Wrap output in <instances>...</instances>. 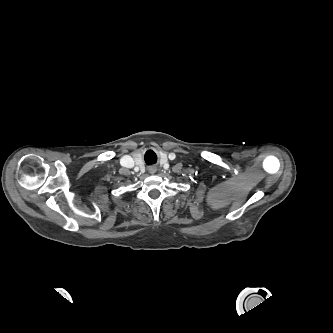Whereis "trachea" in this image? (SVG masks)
Returning a JSON list of instances; mask_svg holds the SVG:
<instances>
[{
  "label": "trachea",
  "instance_id": "trachea-1",
  "mask_svg": "<svg viewBox=\"0 0 333 333\" xmlns=\"http://www.w3.org/2000/svg\"><path fill=\"white\" fill-rule=\"evenodd\" d=\"M152 151H148V152H146V154H145V161L147 162V160H148V157H149V155H150V153H151ZM156 157V156H155ZM150 160L151 159H153V158H149ZM155 161H156V158H155Z\"/></svg>",
  "mask_w": 333,
  "mask_h": 333
}]
</instances>
